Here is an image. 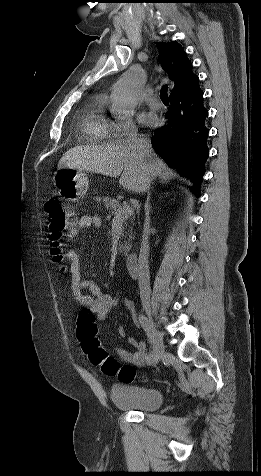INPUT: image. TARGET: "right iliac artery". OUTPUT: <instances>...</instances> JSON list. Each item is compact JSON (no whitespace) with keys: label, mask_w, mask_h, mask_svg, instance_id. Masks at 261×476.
Here are the masks:
<instances>
[{"label":"right iliac artery","mask_w":261,"mask_h":476,"mask_svg":"<svg viewBox=\"0 0 261 476\" xmlns=\"http://www.w3.org/2000/svg\"><path fill=\"white\" fill-rule=\"evenodd\" d=\"M138 319H139V323L142 326L144 332L149 336L148 337V343L152 344L153 343V337L151 336L152 330H151V328L148 327L147 318L144 315L140 314ZM153 361H154V354H153L152 351H149V354L146 357V362H147V364H151Z\"/></svg>","instance_id":"82829eb1"}]
</instances>
